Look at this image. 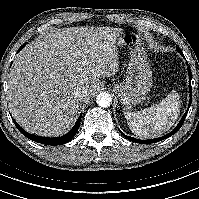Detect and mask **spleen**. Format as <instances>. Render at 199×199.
<instances>
[{"mask_svg": "<svg viewBox=\"0 0 199 199\" xmlns=\"http://www.w3.org/2000/svg\"><path fill=\"white\" fill-rule=\"evenodd\" d=\"M180 113L178 93L172 91L161 102L137 112H125L130 130L140 138H156L168 131Z\"/></svg>", "mask_w": 199, "mask_h": 199, "instance_id": "1", "label": "spleen"}]
</instances>
